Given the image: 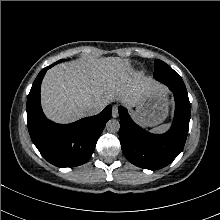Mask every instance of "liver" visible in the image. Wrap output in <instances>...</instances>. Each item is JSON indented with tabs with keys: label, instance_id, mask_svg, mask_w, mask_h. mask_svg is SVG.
Returning a JSON list of instances; mask_svg holds the SVG:
<instances>
[{
	"label": "liver",
	"instance_id": "1",
	"mask_svg": "<svg viewBox=\"0 0 220 220\" xmlns=\"http://www.w3.org/2000/svg\"><path fill=\"white\" fill-rule=\"evenodd\" d=\"M129 70L128 62L119 57H89L56 65L41 85L45 115L57 123H70L87 116L88 104L106 106L120 100L136 106L160 88L151 78Z\"/></svg>",
	"mask_w": 220,
	"mask_h": 220
}]
</instances>
